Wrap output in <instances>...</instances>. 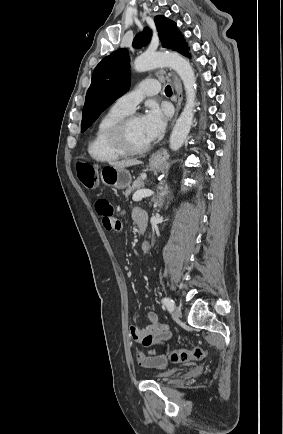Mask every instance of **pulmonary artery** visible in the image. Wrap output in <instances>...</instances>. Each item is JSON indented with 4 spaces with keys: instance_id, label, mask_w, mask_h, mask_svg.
I'll use <instances>...</instances> for the list:
<instances>
[{
    "instance_id": "1",
    "label": "pulmonary artery",
    "mask_w": 283,
    "mask_h": 434,
    "mask_svg": "<svg viewBox=\"0 0 283 434\" xmlns=\"http://www.w3.org/2000/svg\"><path fill=\"white\" fill-rule=\"evenodd\" d=\"M159 91L160 84L157 80H143L134 90L118 98L115 106L124 111L132 112L145 96L156 95Z\"/></svg>"
}]
</instances>
